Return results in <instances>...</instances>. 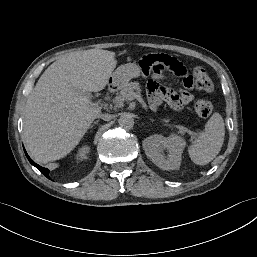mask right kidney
Returning a JSON list of instances; mask_svg holds the SVG:
<instances>
[{
	"label": "right kidney",
	"instance_id": "ca27d5eb",
	"mask_svg": "<svg viewBox=\"0 0 257 257\" xmlns=\"http://www.w3.org/2000/svg\"><path fill=\"white\" fill-rule=\"evenodd\" d=\"M89 152V147L88 146H83L80 148L76 154V159L77 160H83L86 158V154Z\"/></svg>",
	"mask_w": 257,
	"mask_h": 257
}]
</instances>
